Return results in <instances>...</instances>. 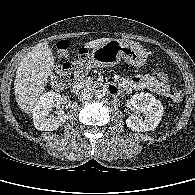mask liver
I'll return each mask as SVG.
<instances>
[{"label":"liver","instance_id":"obj_1","mask_svg":"<svg viewBox=\"0 0 195 195\" xmlns=\"http://www.w3.org/2000/svg\"><path fill=\"white\" fill-rule=\"evenodd\" d=\"M110 38H100L85 44L88 49L97 48ZM54 56L47 42L38 43L20 62L14 81L15 99L26 114H33L35 105L45 91L48 77L54 67Z\"/></svg>","mask_w":195,"mask_h":195}]
</instances>
